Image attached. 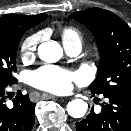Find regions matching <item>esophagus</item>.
Segmentation results:
<instances>
[{"instance_id":"34e87169","label":"esophagus","mask_w":131,"mask_h":131,"mask_svg":"<svg viewBox=\"0 0 131 131\" xmlns=\"http://www.w3.org/2000/svg\"><path fill=\"white\" fill-rule=\"evenodd\" d=\"M40 97H41V99H55V98H57L54 95L46 94V93L42 94Z\"/></svg>"}]
</instances>
